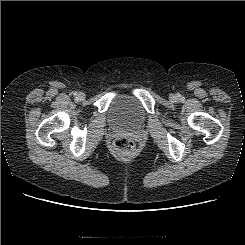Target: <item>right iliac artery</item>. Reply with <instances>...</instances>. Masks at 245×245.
<instances>
[{
  "mask_svg": "<svg viewBox=\"0 0 245 245\" xmlns=\"http://www.w3.org/2000/svg\"><path fill=\"white\" fill-rule=\"evenodd\" d=\"M74 95H77V92H74Z\"/></svg>",
  "mask_w": 245,
  "mask_h": 245,
  "instance_id": "1",
  "label": "right iliac artery"
}]
</instances>
